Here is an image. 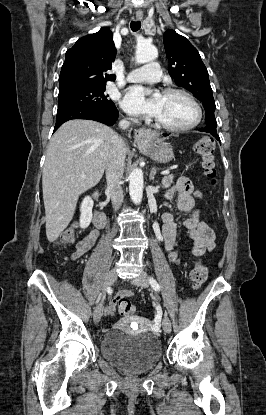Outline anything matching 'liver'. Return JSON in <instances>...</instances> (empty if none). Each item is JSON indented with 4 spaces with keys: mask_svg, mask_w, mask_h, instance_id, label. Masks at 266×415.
Wrapping results in <instances>:
<instances>
[{
    "mask_svg": "<svg viewBox=\"0 0 266 415\" xmlns=\"http://www.w3.org/2000/svg\"><path fill=\"white\" fill-rule=\"evenodd\" d=\"M114 135L106 125L81 119L67 121L54 133L42 175L49 242H54L72 220L79 196L101 180Z\"/></svg>",
    "mask_w": 266,
    "mask_h": 415,
    "instance_id": "6515ba94",
    "label": "liver"
}]
</instances>
